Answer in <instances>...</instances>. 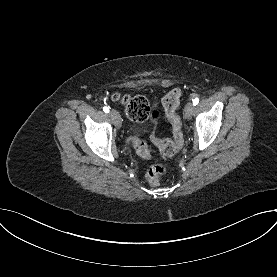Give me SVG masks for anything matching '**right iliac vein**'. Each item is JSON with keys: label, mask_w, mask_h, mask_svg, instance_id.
<instances>
[{"label": "right iliac vein", "mask_w": 277, "mask_h": 277, "mask_svg": "<svg viewBox=\"0 0 277 277\" xmlns=\"http://www.w3.org/2000/svg\"><path fill=\"white\" fill-rule=\"evenodd\" d=\"M110 116H111L115 126L117 128H120L121 127V117H120L119 113L117 111H115V110H111Z\"/></svg>", "instance_id": "right-iliac-vein-1"}]
</instances>
